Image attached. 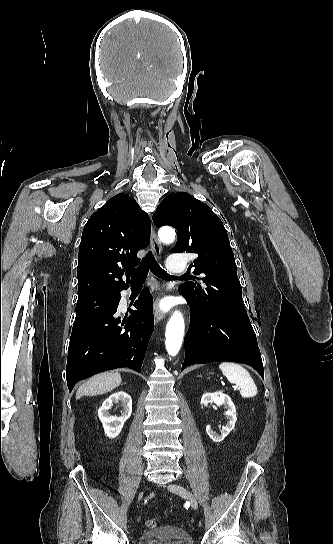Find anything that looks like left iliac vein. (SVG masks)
<instances>
[{
    "mask_svg": "<svg viewBox=\"0 0 333 544\" xmlns=\"http://www.w3.org/2000/svg\"><path fill=\"white\" fill-rule=\"evenodd\" d=\"M167 489L170 490L171 492L179 495L180 497H183V498L187 499L191 503V506L193 507L194 510L198 509V502H197L195 496L192 494V492L187 490L182 485L169 484L167 486Z\"/></svg>",
    "mask_w": 333,
    "mask_h": 544,
    "instance_id": "obj_1",
    "label": "left iliac vein"
}]
</instances>
